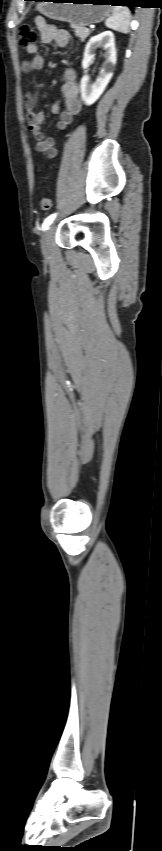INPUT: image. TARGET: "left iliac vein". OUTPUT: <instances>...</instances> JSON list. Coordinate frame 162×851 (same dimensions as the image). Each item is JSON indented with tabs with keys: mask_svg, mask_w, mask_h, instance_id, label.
<instances>
[{
	"mask_svg": "<svg viewBox=\"0 0 162 851\" xmlns=\"http://www.w3.org/2000/svg\"><path fill=\"white\" fill-rule=\"evenodd\" d=\"M55 227L50 225L41 237V250L43 255L48 256L51 249Z\"/></svg>",
	"mask_w": 162,
	"mask_h": 851,
	"instance_id": "1",
	"label": "left iliac vein"
}]
</instances>
